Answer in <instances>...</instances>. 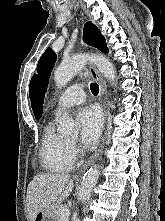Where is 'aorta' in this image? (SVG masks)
I'll use <instances>...</instances> for the list:
<instances>
[{"label":"aorta","instance_id":"1","mask_svg":"<svg viewBox=\"0 0 165 221\" xmlns=\"http://www.w3.org/2000/svg\"><path fill=\"white\" fill-rule=\"evenodd\" d=\"M90 61L94 63L99 72L113 84L116 80V71L113 64L102 55L74 56L68 60H64L54 71V80L58 87L65 86L77 73L84 67L85 63ZM59 131L62 134H73L77 130L74 120L67 114L60 117ZM99 168L97 166L90 168L83 176L81 187L79 190V200L87 201L92 193L94 186L99 178Z\"/></svg>","mask_w":165,"mask_h":221}]
</instances>
